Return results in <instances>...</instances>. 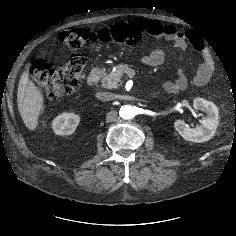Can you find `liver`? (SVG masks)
Returning <instances> with one entry per match:
<instances>
[{"instance_id":"liver-1","label":"liver","mask_w":236,"mask_h":236,"mask_svg":"<svg viewBox=\"0 0 236 236\" xmlns=\"http://www.w3.org/2000/svg\"><path fill=\"white\" fill-rule=\"evenodd\" d=\"M17 102L25 126L30 131H35L39 116L44 109V96L41 90L30 80L28 71H25L20 78Z\"/></svg>"}]
</instances>
